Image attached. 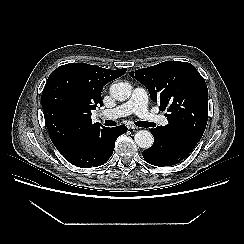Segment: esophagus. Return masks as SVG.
Segmentation results:
<instances>
[{
    "label": "esophagus",
    "instance_id": "obj_1",
    "mask_svg": "<svg viewBox=\"0 0 244 244\" xmlns=\"http://www.w3.org/2000/svg\"><path fill=\"white\" fill-rule=\"evenodd\" d=\"M127 127H128V129H130V130H136V129H138V127L135 126V125H133V124H128Z\"/></svg>",
    "mask_w": 244,
    "mask_h": 244
}]
</instances>
